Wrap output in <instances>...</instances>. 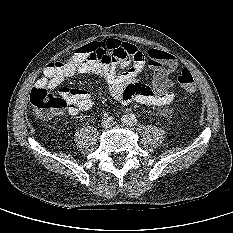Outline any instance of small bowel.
<instances>
[{
  "label": "small bowel",
  "mask_w": 233,
  "mask_h": 233,
  "mask_svg": "<svg viewBox=\"0 0 233 233\" xmlns=\"http://www.w3.org/2000/svg\"><path fill=\"white\" fill-rule=\"evenodd\" d=\"M118 66L126 70L117 73ZM145 66L153 70L152 86L138 81ZM176 69V59L170 53L151 48L142 50L128 42L108 39L79 48L67 61L48 64L37 87L58 89L67 101L70 115L85 112L93 106L88 91L61 87L64 80L76 74L102 78L112 97L123 105L136 101L141 105L161 106L175 99L171 75Z\"/></svg>",
  "instance_id": "1"
}]
</instances>
